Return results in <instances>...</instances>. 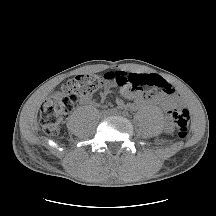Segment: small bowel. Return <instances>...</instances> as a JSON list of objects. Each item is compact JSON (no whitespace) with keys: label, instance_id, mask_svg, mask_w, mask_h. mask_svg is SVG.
Returning <instances> with one entry per match:
<instances>
[{"label":"small bowel","instance_id":"1","mask_svg":"<svg viewBox=\"0 0 216 216\" xmlns=\"http://www.w3.org/2000/svg\"><path fill=\"white\" fill-rule=\"evenodd\" d=\"M123 73L117 78V83L120 85L119 91L121 95L129 100H134L137 107L146 103H154L161 106L165 110H169L174 104L179 102V98L174 95L175 89L167 83L163 78L151 73H126L116 72L112 75ZM169 84V85H168ZM113 83L109 86L111 87ZM110 87L101 93V99L104 100L110 93ZM87 102L93 103L89 99ZM117 106L122 108L123 101L117 100ZM172 127L167 125L166 131L170 132Z\"/></svg>","mask_w":216,"mask_h":216}]
</instances>
